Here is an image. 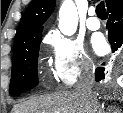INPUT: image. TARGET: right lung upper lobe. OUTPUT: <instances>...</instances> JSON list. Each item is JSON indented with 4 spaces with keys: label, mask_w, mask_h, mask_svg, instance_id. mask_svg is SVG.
<instances>
[{
    "label": "right lung upper lobe",
    "mask_w": 123,
    "mask_h": 113,
    "mask_svg": "<svg viewBox=\"0 0 123 113\" xmlns=\"http://www.w3.org/2000/svg\"><path fill=\"white\" fill-rule=\"evenodd\" d=\"M110 0H106V4ZM55 7V0H32L18 26L15 37L14 50L26 41L42 35L43 24L51 15Z\"/></svg>",
    "instance_id": "right-lung-upper-lobe-1"
}]
</instances>
